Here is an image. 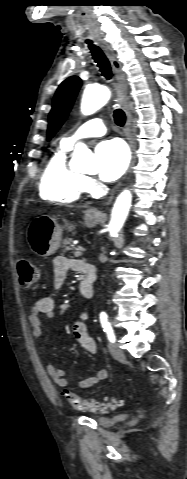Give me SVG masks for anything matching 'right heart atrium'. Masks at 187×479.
<instances>
[{
  "mask_svg": "<svg viewBox=\"0 0 187 479\" xmlns=\"http://www.w3.org/2000/svg\"><path fill=\"white\" fill-rule=\"evenodd\" d=\"M94 184H95V182L92 178L84 176L83 185H84L85 189H87V190L91 189L94 186Z\"/></svg>",
  "mask_w": 187,
  "mask_h": 479,
  "instance_id": "obj_1",
  "label": "right heart atrium"
}]
</instances>
